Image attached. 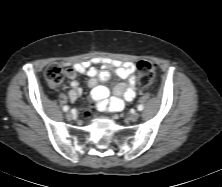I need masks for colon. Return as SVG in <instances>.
I'll return each mask as SVG.
<instances>
[{
	"label": "colon",
	"mask_w": 222,
	"mask_h": 187,
	"mask_svg": "<svg viewBox=\"0 0 222 187\" xmlns=\"http://www.w3.org/2000/svg\"><path fill=\"white\" fill-rule=\"evenodd\" d=\"M157 66L149 60H141L137 64L138 87L141 90L149 88L155 78ZM47 81L53 86H60L65 79V72L62 66L53 63L50 64L45 71Z\"/></svg>",
	"instance_id": "5ec220e1"
}]
</instances>
